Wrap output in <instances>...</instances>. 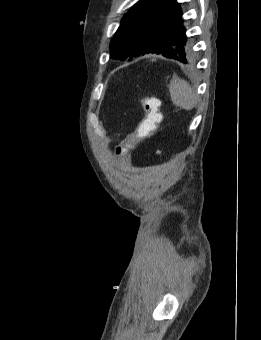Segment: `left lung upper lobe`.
Segmentation results:
<instances>
[{
	"label": "left lung upper lobe",
	"mask_w": 261,
	"mask_h": 340,
	"mask_svg": "<svg viewBox=\"0 0 261 340\" xmlns=\"http://www.w3.org/2000/svg\"><path fill=\"white\" fill-rule=\"evenodd\" d=\"M167 0H140L122 18L111 41L110 56L126 59L170 50L185 62L193 54L181 17L167 19L160 10Z\"/></svg>",
	"instance_id": "obj_1"
}]
</instances>
